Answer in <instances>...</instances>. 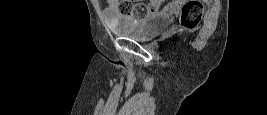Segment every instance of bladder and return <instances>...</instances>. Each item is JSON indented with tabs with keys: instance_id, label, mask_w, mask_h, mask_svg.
I'll list each match as a JSON object with an SVG mask.
<instances>
[{
	"instance_id": "31cf9c89",
	"label": "bladder",
	"mask_w": 267,
	"mask_h": 115,
	"mask_svg": "<svg viewBox=\"0 0 267 115\" xmlns=\"http://www.w3.org/2000/svg\"><path fill=\"white\" fill-rule=\"evenodd\" d=\"M172 19L165 13L145 15L135 23L110 25L111 30L135 41H148L158 36L171 25Z\"/></svg>"
}]
</instances>
